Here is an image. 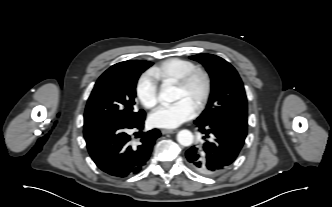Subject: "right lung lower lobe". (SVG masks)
<instances>
[{"instance_id": "98d812e1", "label": "right lung lower lobe", "mask_w": 332, "mask_h": 207, "mask_svg": "<svg viewBox=\"0 0 332 207\" xmlns=\"http://www.w3.org/2000/svg\"><path fill=\"white\" fill-rule=\"evenodd\" d=\"M145 116L129 124H99L84 128V138L95 164L115 177H128L139 173L150 158L158 129L143 133L137 145L130 143L129 129L142 130Z\"/></svg>"}]
</instances>
